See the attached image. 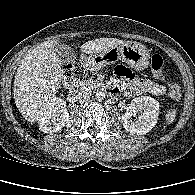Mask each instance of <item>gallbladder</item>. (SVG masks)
Instances as JSON below:
<instances>
[{
  "mask_svg": "<svg viewBox=\"0 0 195 195\" xmlns=\"http://www.w3.org/2000/svg\"><path fill=\"white\" fill-rule=\"evenodd\" d=\"M54 51L63 65L75 61V52L69 45L59 44L54 48Z\"/></svg>",
  "mask_w": 195,
  "mask_h": 195,
  "instance_id": "bac80fb5",
  "label": "gallbladder"
}]
</instances>
